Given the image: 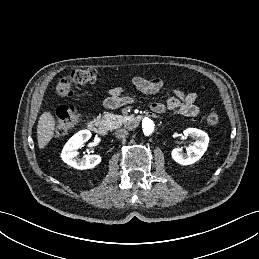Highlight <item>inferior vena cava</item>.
Instances as JSON below:
<instances>
[{
  "mask_svg": "<svg viewBox=\"0 0 259 259\" xmlns=\"http://www.w3.org/2000/svg\"><path fill=\"white\" fill-rule=\"evenodd\" d=\"M128 135V131L126 129H118L115 132V136L118 139L125 138Z\"/></svg>",
  "mask_w": 259,
  "mask_h": 259,
  "instance_id": "1",
  "label": "inferior vena cava"
}]
</instances>
